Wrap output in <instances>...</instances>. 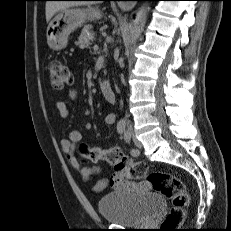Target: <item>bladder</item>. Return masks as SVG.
Here are the masks:
<instances>
[{
	"mask_svg": "<svg viewBox=\"0 0 231 231\" xmlns=\"http://www.w3.org/2000/svg\"><path fill=\"white\" fill-rule=\"evenodd\" d=\"M165 208V199L157 193L112 192L97 203L105 221L122 226L144 225L153 221Z\"/></svg>",
	"mask_w": 231,
	"mask_h": 231,
	"instance_id": "1",
	"label": "bladder"
}]
</instances>
